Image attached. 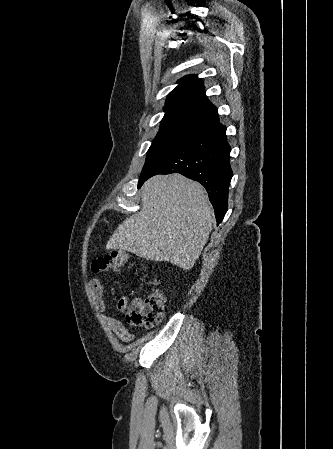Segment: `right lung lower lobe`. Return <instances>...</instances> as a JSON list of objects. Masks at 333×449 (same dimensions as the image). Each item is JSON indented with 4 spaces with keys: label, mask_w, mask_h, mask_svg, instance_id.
<instances>
[{
    "label": "right lung lower lobe",
    "mask_w": 333,
    "mask_h": 449,
    "mask_svg": "<svg viewBox=\"0 0 333 449\" xmlns=\"http://www.w3.org/2000/svg\"><path fill=\"white\" fill-rule=\"evenodd\" d=\"M230 151L226 127L220 123L214 124L160 161L140 178L138 187L156 174L181 173L205 187L219 224L227 212L228 188L233 175Z\"/></svg>",
    "instance_id": "1"
}]
</instances>
